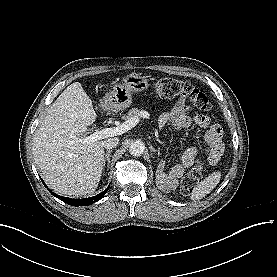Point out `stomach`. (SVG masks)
<instances>
[{
	"label": "stomach",
	"instance_id": "stomach-1",
	"mask_svg": "<svg viewBox=\"0 0 277 277\" xmlns=\"http://www.w3.org/2000/svg\"><path fill=\"white\" fill-rule=\"evenodd\" d=\"M149 80L146 76L131 73L126 75L120 83L113 86L104 100L108 103L111 111L117 112L129 107L132 103V93L141 92L149 88Z\"/></svg>",
	"mask_w": 277,
	"mask_h": 277
}]
</instances>
